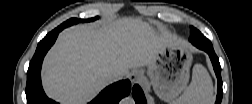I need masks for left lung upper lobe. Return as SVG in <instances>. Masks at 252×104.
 <instances>
[{
  "label": "left lung upper lobe",
  "instance_id": "1",
  "mask_svg": "<svg viewBox=\"0 0 252 104\" xmlns=\"http://www.w3.org/2000/svg\"><path fill=\"white\" fill-rule=\"evenodd\" d=\"M198 32V30L196 29V28H194V27H192L191 26V32H190V36L191 37H194L195 36V34ZM200 32V31H199ZM210 41V40H209ZM206 45V47L207 48H209V49H213V46H212V44L211 43H209V44H205Z\"/></svg>",
  "mask_w": 252,
  "mask_h": 104
}]
</instances>
